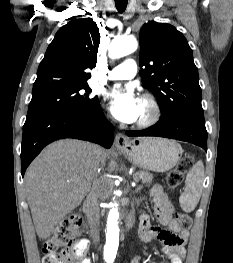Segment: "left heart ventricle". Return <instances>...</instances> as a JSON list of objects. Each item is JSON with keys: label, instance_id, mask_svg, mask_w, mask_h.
I'll return each instance as SVG.
<instances>
[{"label": "left heart ventricle", "instance_id": "obj_1", "mask_svg": "<svg viewBox=\"0 0 233 263\" xmlns=\"http://www.w3.org/2000/svg\"><path fill=\"white\" fill-rule=\"evenodd\" d=\"M147 113H148V107L145 104V102L142 101L141 102V113H140L139 119L142 118L143 116H145Z\"/></svg>", "mask_w": 233, "mask_h": 263}]
</instances>
